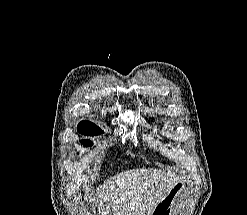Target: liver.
I'll list each match as a JSON object with an SVG mask.
<instances>
[{
	"label": "liver",
	"mask_w": 247,
	"mask_h": 215,
	"mask_svg": "<svg viewBox=\"0 0 247 215\" xmlns=\"http://www.w3.org/2000/svg\"><path fill=\"white\" fill-rule=\"evenodd\" d=\"M178 180L171 172L133 169L110 177L96 190L98 215H150L170 186Z\"/></svg>",
	"instance_id": "1"
}]
</instances>
